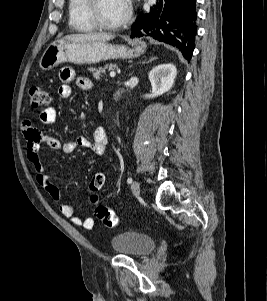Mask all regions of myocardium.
<instances>
[{
	"instance_id": "f54148a6",
	"label": "myocardium",
	"mask_w": 267,
	"mask_h": 301,
	"mask_svg": "<svg viewBox=\"0 0 267 301\" xmlns=\"http://www.w3.org/2000/svg\"><path fill=\"white\" fill-rule=\"evenodd\" d=\"M100 3L101 0H88L87 6L88 16L97 29L114 31L124 28L130 23L132 18V4L130 0H126L127 11L124 18L115 24H108L102 20L99 15Z\"/></svg>"
}]
</instances>
